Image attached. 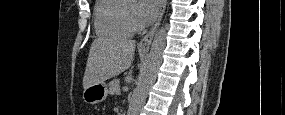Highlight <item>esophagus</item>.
<instances>
[{
  "label": "esophagus",
  "mask_w": 285,
  "mask_h": 115,
  "mask_svg": "<svg viewBox=\"0 0 285 115\" xmlns=\"http://www.w3.org/2000/svg\"><path fill=\"white\" fill-rule=\"evenodd\" d=\"M166 2H167V0L161 1L158 19H157L156 23L154 24V26L150 29V31L140 40V42L138 44L139 48L148 49L150 47L152 40H153V37L157 31V28L160 25V22H161V19H162L164 10H165Z\"/></svg>",
  "instance_id": "1"
}]
</instances>
